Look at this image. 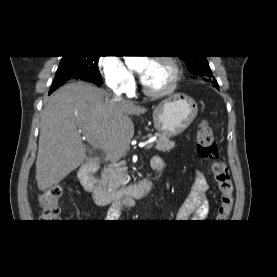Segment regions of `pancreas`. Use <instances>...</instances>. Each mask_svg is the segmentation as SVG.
I'll return each instance as SVG.
<instances>
[{"mask_svg":"<svg viewBox=\"0 0 277 277\" xmlns=\"http://www.w3.org/2000/svg\"><path fill=\"white\" fill-rule=\"evenodd\" d=\"M152 135H148L151 137ZM158 139L156 141L155 149L161 152H169L175 147V142L170 141L168 137L157 135ZM102 181L105 182L108 188L113 191L119 189L120 187H125L128 183L127 178V167L122 161L120 163H111L104 169L102 173Z\"/></svg>","mask_w":277,"mask_h":277,"instance_id":"cf45deb5","label":"pancreas"}]
</instances>
